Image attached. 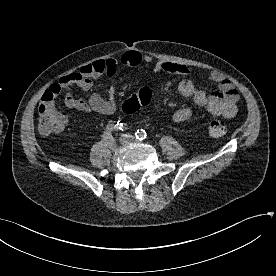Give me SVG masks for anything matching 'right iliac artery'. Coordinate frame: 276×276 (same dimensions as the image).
<instances>
[{"instance_id": "obj_1", "label": "right iliac artery", "mask_w": 276, "mask_h": 276, "mask_svg": "<svg viewBox=\"0 0 276 276\" xmlns=\"http://www.w3.org/2000/svg\"><path fill=\"white\" fill-rule=\"evenodd\" d=\"M113 129L123 131L124 129H127V127H126V124L122 123L121 121H117V122L112 123L111 125H108L103 134L104 141L110 142L113 140V136H112Z\"/></svg>"}]
</instances>
